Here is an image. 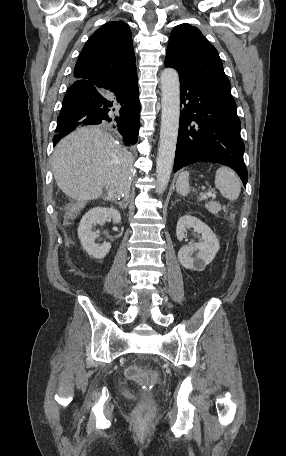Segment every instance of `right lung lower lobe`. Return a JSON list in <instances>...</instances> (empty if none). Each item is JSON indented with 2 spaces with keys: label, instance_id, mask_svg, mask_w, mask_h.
Instances as JSON below:
<instances>
[{
  "label": "right lung lower lobe",
  "instance_id": "right-lung-lower-lobe-1",
  "mask_svg": "<svg viewBox=\"0 0 286 456\" xmlns=\"http://www.w3.org/2000/svg\"><path fill=\"white\" fill-rule=\"evenodd\" d=\"M139 120L137 77L108 86L77 78L63 99L53 144L79 127L100 124L131 146L138 139Z\"/></svg>",
  "mask_w": 286,
  "mask_h": 456
}]
</instances>
